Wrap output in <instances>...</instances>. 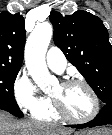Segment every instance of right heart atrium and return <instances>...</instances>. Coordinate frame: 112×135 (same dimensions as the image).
Returning <instances> with one entry per match:
<instances>
[{
  "label": "right heart atrium",
  "instance_id": "obj_1",
  "mask_svg": "<svg viewBox=\"0 0 112 135\" xmlns=\"http://www.w3.org/2000/svg\"><path fill=\"white\" fill-rule=\"evenodd\" d=\"M13 93L19 107L31 114L41 110L49 98L44 95L25 72H19L13 83Z\"/></svg>",
  "mask_w": 112,
  "mask_h": 135
}]
</instances>
